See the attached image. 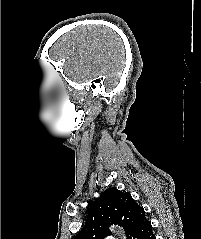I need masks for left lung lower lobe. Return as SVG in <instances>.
Listing matches in <instances>:
<instances>
[{
  "label": "left lung lower lobe",
  "instance_id": "obj_1",
  "mask_svg": "<svg viewBox=\"0 0 201 239\" xmlns=\"http://www.w3.org/2000/svg\"><path fill=\"white\" fill-rule=\"evenodd\" d=\"M129 239H156L152 233L151 223L146 221L130 235Z\"/></svg>",
  "mask_w": 201,
  "mask_h": 239
}]
</instances>
